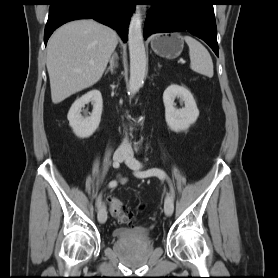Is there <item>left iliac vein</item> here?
Segmentation results:
<instances>
[{
	"instance_id": "obj_1",
	"label": "left iliac vein",
	"mask_w": 278,
	"mask_h": 278,
	"mask_svg": "<svg viewBox=\"0 0 278 278\" xmlns=\"http://www.w3.org/2000/svg\"><path fill=\"white\" fill-rule=\"evenodd\" d=\"M125 163L131 169L139 171L142 168V164L135 159L132 155H128L125 159ZM174 210V201L170 193H167L164 202V211L167 216H171Z\"/></svg>"
}]
</instances>
